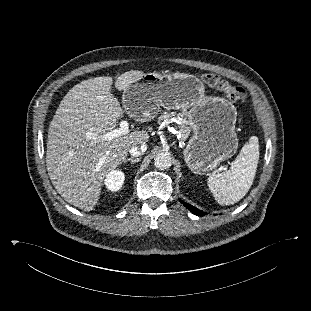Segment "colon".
I'll use <instances>...</instances> for the list:
<instances>
[{"instance_id":"5ec220e1","label":"colon","mask_w":311,"mask_h":311,"mask_svg":"<svg viewBox=\"0 0 311 311\" xmlns=\"http://www.w3.org/2000/svg\"><path fill=\"white\" fill-rule=\"evenodd\" d=\"M205 84L211 88H216L225 92L228 99L236 104H243L247 101V93L240 86H233L226 80L221 79L216 74H206L203 76Z\"/></svg>"}]
</instances>
